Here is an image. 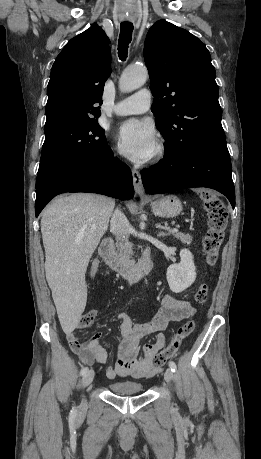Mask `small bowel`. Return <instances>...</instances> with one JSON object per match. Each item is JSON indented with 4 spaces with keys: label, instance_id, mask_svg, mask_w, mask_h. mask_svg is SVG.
I'll list each match as a JSON object with an SVG mask.
<instances>
[{
    "label": "small bowel",
    "instance_id": "obj_1",
    "mask_svg": "<svg viewBox=\"0 0 261 459\" xmlns=\"http://www.w3.org/2000/svg\"><path fill=\"white\" fill-rule=\"evenodd\" d=\"M99 261L94 260L91 265V275L98 270ZM196 313L195 307L186 300H180L170 294L163 296L161 306L154 318L143 324L134 323L125 313L117 316L120 322V335L118 360L115 364L106 368L105 376L108 379L116 377L143 378L153 372L152 360L156 353L161 350L167 336L164 330L170 322L188 320ZM153 336L152 340L141 347V341ZM67 339L73 351L85 364H105L107 352L101 343V333L93 334L87 341L81 342L71 330L67 333Z\"/></svg>",
    "mask_w": 261,
    "mask_h": 459
}]
</instances>
